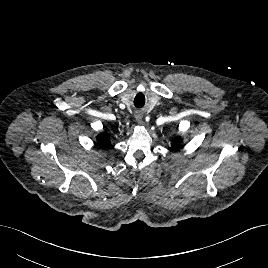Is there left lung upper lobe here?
I'll return each mask as SVG.
<instances>
[{
    "label": "left lung upper lobe",
    "instance_id": "left-lung-upper-lobe-1",
    "mask_svg": "<svg viewBox=\"0 0 268 268\" xmlns=\"http://www.w3.org/2000/svg\"><path fill=\"white\" fill-rule=\"evenodd\" d=\"M180 144H181V138L180 137L175 138L172 143L171 149H176L178 146H180Z\"/></svg>",
    "mask_w": 268,
    "mask_h": 268
}]
</instances>
